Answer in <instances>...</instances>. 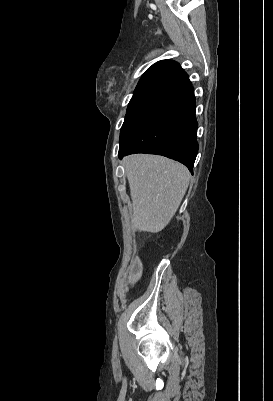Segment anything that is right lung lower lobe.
<instances>
[{"instance_id":"1","label":"right lung lower lobe","mask_w":273,"mask_h":401,"mask_svg":"<svg viewBox=\"0 0 273 401\" xmlns=\"http://www.w3.org/2000/svg\"><path fill=\"white\" fill-rule=\"evenodd\" d=\"M192 85L170 97L119 148V158L133 153L163 155L183 163L192 172L198 153Z\"/></svg>"}]
</instances>
